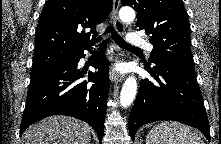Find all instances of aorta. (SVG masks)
I'll return each instance as SVG.
<instances>
[{"instance_id":"1","label":"aorta","mask_w":221,"mask_h":144,"mask_svg":"<svg viewBox=\"0 0 221 144\" xmlns=\"http://www.w3.org/2000/svg\"><path fill=\"white\" fill-rule=\"evenodd\" d=\"M123 22H131L135 19V11L131 7H123L119 12ZM137 93V81L133 76L128 77L120 92L121 106L126 108L132 104Z\"/></svg>"}]
</instances>
